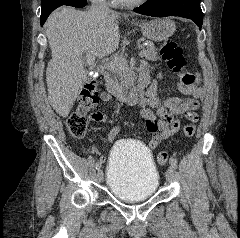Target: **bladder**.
Here are the masks:
<instances>
[{"label": "bladder", "mask_w": 240, "mask_h": 238, "mask_svg": "<svg viewBox=\"0 0 240 238\" xmlns=\"http://www.w3.org/2000/svg\"><path fill=\"white\" fill-rule=\"evenodd\" d=\"M159 179L146 147L123 141L113 148L107 164V186L114 197L125 202L146 200L155 194Z\"/></svg>", "instance_id": "obj_1"}]
</instances>
